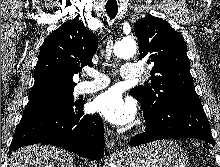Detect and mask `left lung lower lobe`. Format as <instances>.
<instances>
[{
  "instance_id": "0a47b994",
  "label": "left lung lower lobe",
  "mask_w": 220,
  "mask_h": 167,
  "mask_svg": "<svg viewBox=\"0 0 220 167\" xmlns=\"http://www.w3.org/2000/svg\"><path fill=\"white\" fill-rule=\"evenodd\" d=\"M145 132L130 140V146H138L155 140L196 138L214 145L208 119L200 100L167 99L160 107L148 109L142 106Z\"/></svg>"
}]
</instances>
